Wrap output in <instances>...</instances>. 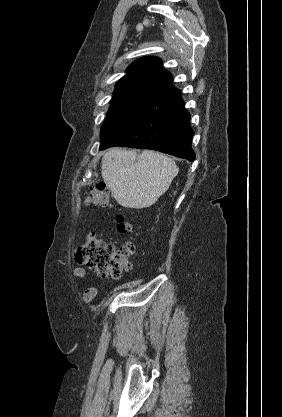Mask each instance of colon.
<instances>
[{"label": "colon", "mask_w": 282, "mask_h": 417, "mask_svg": "<svg viewBox=\"0 0 282 417\" xmlns=\"http://www.w3.org/2000/svg\"><path fill=\"white\" fill-rule=\"evenodd\" d=\"M86 202L90 206L98 208L112 206L107 185L100 183L90 187ZM116 223L117 230L122 234H128L134 229V224L121 214L117 216ZM135 253L133 244H124L120 249H116L102 236L92 233L87 236L83 243L77 245L74 258L76 262L91 272L118 279L132 268V259Z\"/></svg>", "instance_id": "5ec220e1"}]
</instances>
